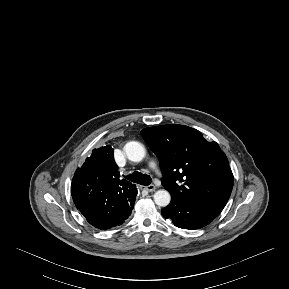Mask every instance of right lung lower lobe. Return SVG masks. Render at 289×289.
Returning <instances> with one entry per match:
<instances>
[{"mask_svg": "<svg viewBox=\"0 0 289 289\" xmlns=\"http://www.w3.org/2000/svg\"><path fill=\"white\" fill-rule=\"evenodd\" d=\"M75 182L71 185V194L75 191ZM134 201L129 203H122L117 208H114L108 212H101L98 214L81 212L83 216L87 219L88 223L92 226L100 229L107 230L121 224L126 220L133 209Z\"/></svg>", "mask_w": 289, "mask_h": 289, "instance_id": "98d812e1", "label": "right lung lower lobe"}]
</instances>
